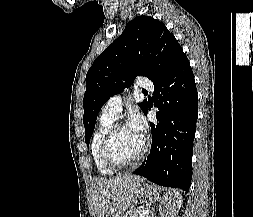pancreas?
Masks as SVG:
<instances>
[{
    "label": "pancreas",
    "instance_id": "pancreas-1",
    "mask_svg": "<svg viewBox=\"0 0 253 217\" xmlns=\"http://www.w3.org/2000/svg\"><path fill=\"white\" fill-rule=\"evenodd\" d=\"M141 210L140 209H134L129 211L125 217H140ZM147 217V216H146Z\"/></svg>",
    "mask_w": 253,
    "mask_h": 217
}]
</instances>
